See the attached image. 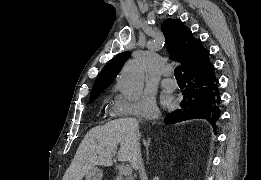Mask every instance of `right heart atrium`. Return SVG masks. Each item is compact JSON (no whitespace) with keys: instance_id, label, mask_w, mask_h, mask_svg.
Returning <instances> with one entry per match:
<instances>
[{"instance_id":"right-heart-atrium-1","label":"right heart atrium","mask_w":261,"mask_h":180,"mask_svg":"<svg viewBox=\"0 0 261 180\" xmlns=\"http://www.w3.org/2000/svg\"><path fill=\"white\" fill-rule=\"evenodd\" d=\"M120 100H124L122 95H118ZM158 112L154 95L152 93H145L144 98H139L138 101L126 104L124 109L120 111L111 112L113 114H122V117H148L151 114ZM109 122V119L108 121Z\"/></svg>"}]
</instances>
